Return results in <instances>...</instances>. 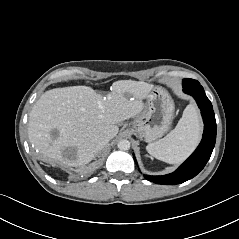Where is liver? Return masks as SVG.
Masks as SVG:
<instances>
[{
  "mask_svg": "<svg viewBox=\"0 0 239 239\" xmlns=\"http://www.w3.org/2000/svg\"><path fill=\"white\" fill-rule=\"evenodd\" d=\"M154 86L143 81L120 80L102 95L88 86H71L46 91L34 104L28 121V137L41 157L49 162L79 167L94 159L98 142L113 139L116 125L144 109ZM58 131L56 137L51 132ZM75 149L69 159L64 151Z\"/></svg>",
  "mask_w": 239,
  "mask_h": 239,
  "instance_id": "6515ba94",
  "label": "liver"
}]
</instances>
